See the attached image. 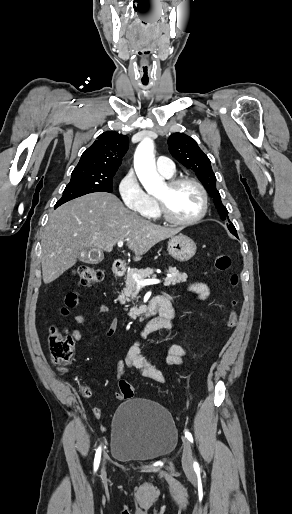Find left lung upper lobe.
<instances>
[{
    "mask_svg": "<svg viewBox=\"0 0 292 514\" xmlns=\"http://www.w3.org/2000/svg\"><path fill=\"white\" fill-rule=\"evenodd\" d=\"M168 145L171 155L198 176L209 195L213 198L215 207L221 215V219H227L228 229L237 237V231L234 225L229 221L227 216L228 211L222 204L220 194L216 189V177L207 155L199 148L193 138L183 133L172 134L168 139Z\"/></svg>",
    "mask_w": 292,
    "mask_h": 514,
    "instance_id": "1",
    "label": "left lung upper lobe"
}]
</instances>
